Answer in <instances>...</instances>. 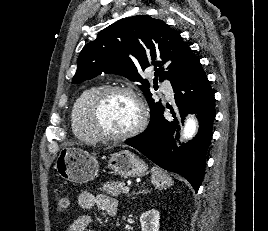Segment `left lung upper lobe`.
Instances as JSON below:
<instances>
[{
    "label": "left lung upper lobe",
    "instance_id": "5c2ea615",
    "mask_svg": "<svg viewBox=\"0 0 268 231\" xmlns=\"http://www.w3.org/2000/svg\"><path fill=\"white\" fill-rule=\"evenodd\" d=\"M196 59L180 34L163 21L144 15L132 16L103 29L96 40L84 46L72 82L78 84L102 72L139 82L151 109V123L164 107L161 100L155 102L151 97L149 83L140 72L154 66L155 82L158 77L159 81L168 79L172 82Z\"/></svg>",
    "mask_w": 268,
    "mask_h": 231
}]
</instances>
